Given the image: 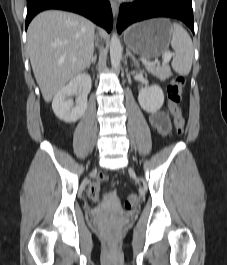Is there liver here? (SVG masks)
<instances>
[{"instance_id":"6515ba94","label":"liver","mask_w":227,"mask_h":265,"mask_svg":"<svg viewBox=\"0 0 227 265\" xmlns=\"http://www.w3.org/2000/svg\"><path fill=\"white\" fill-rule=\"evenodd\" d=\"M95 25L63 11H44L30 23L27 47L37 84L46 102L91 61ZM100 34L106 37L105 31Z\"/></svg>"}]
</instances>
